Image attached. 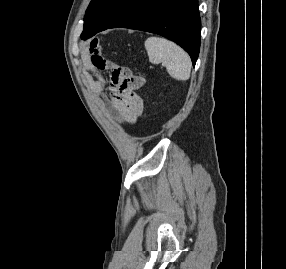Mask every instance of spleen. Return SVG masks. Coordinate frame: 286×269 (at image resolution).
Segmentation results:
<instances>
[{"label":"spleen","mask_w":286,"mask_h":269,"mask_svg":"<svg viewBox=\"0 0 286 269\" xmlns=\"http://www.w3.org/2000/svg\"><path fill=\"white\" fill-rule=\"evenodd\" d=\"M145 48L151 63H163L174 79L182 81L189 79L191 60L181 47L164 38L149 37L145 41Z\"/></svg>","instance_id":"3e777b00"}]
</instances>
